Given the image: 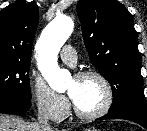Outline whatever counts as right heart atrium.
<instances>
[{"label": "right heart atrium", "mask_w": 147, "mask_h": 131, "mask_svg": "<svg viewBox=\"0 0 147 131\" xmlns=\"http://www.w3.org/2000/svg\"><path fill=\"white\" fill-rule=\"evenodd\" d=\"M29 88L37 110L43 116L57 121L66 115L69 108L68 100L54 91L41 77L32 74Z\"/></svg>", "instance_id": "right-heart-atrium-1"}]
</instances>
